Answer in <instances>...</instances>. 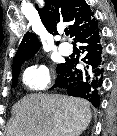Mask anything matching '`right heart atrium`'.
<instances>
[{"label":"right heart atrium","instance_id":"right-heart-atrium-1","mask_svg":"<svg viewBox=\"0 0 117 136\" xmlns=\"http://www.w3.org/2000/svg\"><path fill=\"white\" fill-rule=\"evenodd\" d=\"M22 81L29 91H41L48 87L50 82V73L43 64H35L23 72Z\"/></svg>","mask_w":117,"mask_h":136}]
</instances>
